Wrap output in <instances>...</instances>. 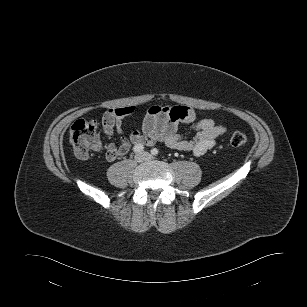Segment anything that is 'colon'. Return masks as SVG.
<instances>
[{"mask_svg": "<svg viewBox=\"0 0 307 307\" xmlns=\"http://www.w3.org/2000/svg\"><path fill=\"white\" fill-rule=\"evenodd\" d=\"M97 121L94 119H79L71 126L69 137L74 153L79 158H87L91 151L101 146V140L97 133ZM247 142V136L243 132L236 131L230 138L233 147H241Z\"/></svg>", "mask_w": 307, "mask_h": 307, "instance_id": "1", "label": "colon"}]
</instances>
